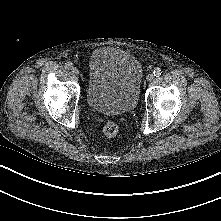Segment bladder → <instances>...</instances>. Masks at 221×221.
<instances>
[{
  "instance_id": "31cf9c89",
  "label": "bladder",
  "mask_w": 221,
  "mask_h": 221,
  "mask_svg": "<svg viewBox=\"0 0 221 221\" xmlns=\"http://www.w3.org/2000/svg\"><path fill=\"white\" fill-rule=\"evenodd\" d=\"M142 78V65L132 53L111 46L98 48L89 59L87 104L105 115L129 113L138 103Z\"/></svg>"
}]
</instances>
